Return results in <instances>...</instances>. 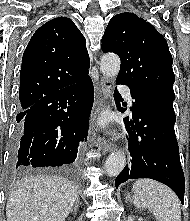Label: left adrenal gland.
I'll use <instances>...</instances> for the list:
<instances>
[{"label": "left adrenal gland", "instance_id": "obj_1", "mask_svg": "<svg viewBox=\"0 0 190 221\" xmlns=\"http://www.w3.org/2000/svg\"><path fill=\"white\" fill-rule=\"evenodd\" d=\"M128 201H131L129 194H127V196H126V198H125V202H128Z\"/></svg>", "mask_w": 190, "mask_h": 221}]
</instances>
